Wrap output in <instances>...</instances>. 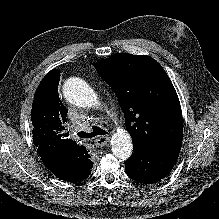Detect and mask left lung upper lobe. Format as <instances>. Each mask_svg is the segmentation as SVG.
Listing matches in <instances>:
<instances>
[{"mask_svg": "<svg viewBox=\"0 0 219 219\" xmlns=\"http://www.w3.org/2000/svg\"><path fill=\"white\" fill-rule=\"evenodd\" d=\"M112 86L134 145L179 153L183 122L180 102L168 75L152 57L117 53L95 63Z\"/></svg>", "mask_w": 219, "mask_h": 219, "instance_id": "5c2ea615", "label": "left lung upper lobe"}]
</instances>
